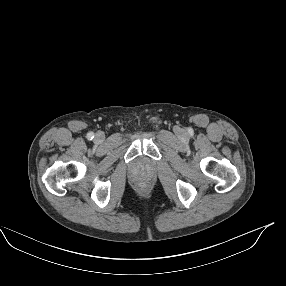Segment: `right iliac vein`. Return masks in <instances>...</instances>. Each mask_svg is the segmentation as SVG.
Returning a JSON list of instances; mask_svg holds the SVG:
<instances>
[{
    "label": "right iliac vein",
    "instance_id": "obj_1",
    "mask_svg": "<svg viewBox=\"0 0 286 286\" xmlns=\"http://www.w3.org/2000/svg\"><path fill=\"white\" fill-rule=\"evenodd\" d=\"M96 140H97L98 142H103V140H104V135H103L102 133H98V134L96 135Z\"/></svg>",
    "mask_w": 286,
    "mask_h": 286
}]
</instances>
